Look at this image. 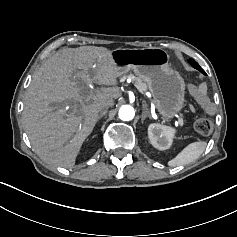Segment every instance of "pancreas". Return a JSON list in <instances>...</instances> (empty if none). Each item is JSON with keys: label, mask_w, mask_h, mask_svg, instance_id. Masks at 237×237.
I'll return each instance as SVG.
<instances>
[{"label": "pancreas", "mask_w": 237, "mask_h": 237, "mask_svg": "<svg viewBox=\"0 0 237 237\" xmlns=\"http://www.w3.org/2000/svg\"><path fill=\"white\" fill-rule=\"evenodd\" d=\"M128 77L132 80V82L135 84V86L137 87V89L139 91L142 92V91H145L147 89L146 84L143 83L140 78L134 77L133 75H129Z\"/></svg>", "instance_id": "cf45deb5"}]
</instances>
